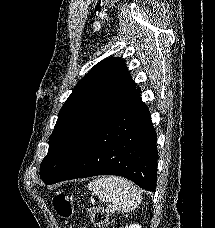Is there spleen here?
Returning a JSON list of instances; mask_svg holds the SVG:
<instances>
[{"label":"spleen","instance_id":"1","mask_svg":"<svg viewBox=\"0 0 215 228\" xmlns=\"http://www.w3.org/2000/svg\"><path fill=\"white\" fill-rule=\"evenodd\" d=\"M88 188L97 194L102 202H112L122 214L132 212L142 202L139 188L125 178L98 176L90 182Z\"/></svg>","mask_w":215,"mask_h":228}]
</instances>
